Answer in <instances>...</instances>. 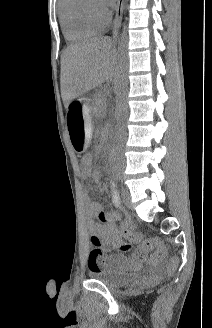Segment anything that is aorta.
Returning a JSON list of instances; mask_svg holds the SVG:
<instances>
[{
	"instance_id": "obj_1",
	"label": "aorta",
	"mask_w": 212,
	"mask_h": 328,
	"mask_svg": "<svg viewBox=\"0 0 212 328\" xmlns=\"http://www.w3.org/2000/svg\"><path fill=\"white\" fill-rule=\"evenodd\" d=\"M127 46H128V35L127 28L124 25L122 33L118 39V62L116 69V76L114 82V90L116 94V108L115 116L117 122V140L121 146L125 135H126V120L128 116V103H127V93H128V56H127ZM122 153L117 150L114 155L112 162L114 167L111 168V179L121 180L124 174V168L122 166Z\"/></svg>"
}]
</instances>
